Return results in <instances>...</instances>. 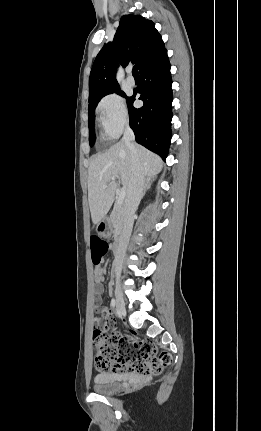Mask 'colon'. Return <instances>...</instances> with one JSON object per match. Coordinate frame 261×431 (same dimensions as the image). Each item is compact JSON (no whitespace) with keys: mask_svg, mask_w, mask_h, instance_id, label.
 I'll return each mask as SVG.
<instances>
[{"mask_svg":"<svg viewBox=\"0 0 261 431\" xmlns=\"http://www.w3.org/2000/svg\"><path fill=\"white\" fill-rule=\"evenodd\" d=\"M90 245L92 262L99 266L109 250V245L98 236L91 237ZM95 324L93 332L95 364L100 370L131 372L149 377L161 373L172 363L171 354L166 351L157 353L150 341L117 332H104L100 327L99 318L95 319Z\"/></svg>","mask_w":261,"mask_h":431,"instance_id":"5ec220e1","label":"colon"}]
</instances>
